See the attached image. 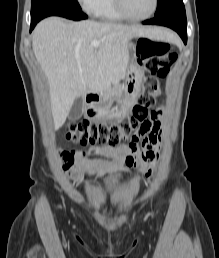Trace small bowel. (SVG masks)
<instances>
[{
    "instance_id": "c3829d8e",
    "label": "small bowel",
    "mask_w": 219,
    "mask_h": 258,
    "mask_svg": "<svg viewBox=\"0 0 219 258\" xmlns=\"http://www.w3.org/2000/svg\"><path fill=\"white\" fill-rule=\"evenodd\" d=\"M163 109L153 111L151 121L143 125L136 132L128 144L116 148L101 147L95 149V153L103 159L94 160L91 163L75 162L71 166V178L79 184L83 176L101 177L117 171H130L139 167L147 174L151 172L150 165L158 158V149L161 144ZM143 137L142 147L138 142Z\"/></svg>"
}]
</instances>
